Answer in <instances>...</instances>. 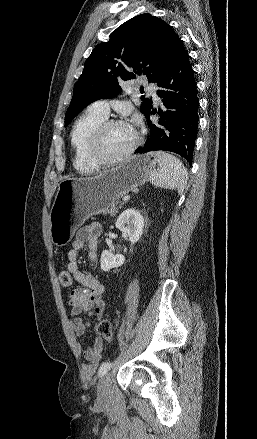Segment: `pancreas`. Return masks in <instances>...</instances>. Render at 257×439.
I'll return each mask as SVG.
<instances>
[{"mask_svg":"<svg viewBox=\"0 0 257 439\" xmlns=\"http://www.w3.org/2000/svg\"><path fill=\"white\" fill-rule=\"evenodd\" d=\"M122 204L123 203H121L120 201L113 202L103 210V213L110 214V216H114L118 212L119 208H121Z\"/></svg>","mask_w":257,"mask_h":439,"instance_id":"cf45deb5","label":"pancreas"}]
</instances>
